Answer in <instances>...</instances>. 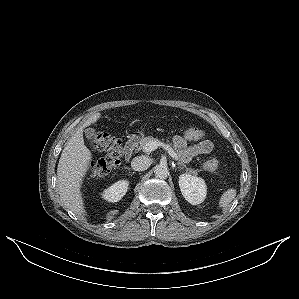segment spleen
<instances>
[{"instance_id": "spleen-1", "label": "spleen", "mask_w": 299, "mask_h": 299, "mask_svg": "<svg viewBox=\"0 0 299 299\" xmlns=\"http://www.w3.org/2000/svg\"><path fill=\"white\" fill-rule=\"evenodd\" d=\"M236 197V190L230 188L223 192L219 200V207L223 209V211L227 210L230 207L231 202Z\"/></svg>"}]
</instances>
